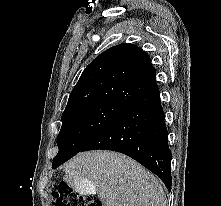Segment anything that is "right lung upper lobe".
<instances>
[{
  "label": "right lung upper lobe",
  "mask_w": 221,
  "mask_h": 206,
  "mask_svg": "<svg viewBox=\"0 0 221 206\" xmlns=\"http://www.w3.org/2000/svg\"><path fill=\"white\" fill-rule=\"evenodd\" d=\"M149 55L132 44L109 48L83 71L65 111L104 103L127 107L157 86Z\"/></svg>",
  "instance_id": "1"
}]
</instances>
